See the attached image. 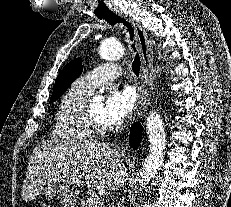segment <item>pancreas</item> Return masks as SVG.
Instances as JSON below:
<instances>
[{
    "label": "pancreas",
    "mask_w": 231,
    "mask_h": 207,
    "mask_svg": "<svg viewBox=\"0 0 231 207\" xmlns=\"http://www.w3.org/2000/svg\"><path fill=\"white\" fill-rule=\"evenodd\" d=\"M98 196H91L80 203V207H103V200H98Z\"/></svg>",
    "instance_id": "pancreas-1"
}]
</instances>
